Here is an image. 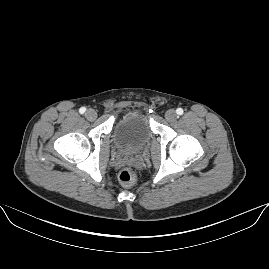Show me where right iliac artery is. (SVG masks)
<instances>
[{"instance_id": "right-iliac-artery-1", "label": "right iliac artery", "mask_w": 269, "mask_h": 269, "mask_svg": "<svg viewBox=\"0 0 269 269\" xmlns=\"http://www.w3.org/2000/svg\"><path fill=\"white\" fill-rule=\"evenodd\" d=\"M79 112H80L81 114H84V113L86 112V108H85V107H81V108L79 109Z\"/></svg>"}]
</instances>
